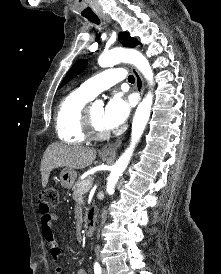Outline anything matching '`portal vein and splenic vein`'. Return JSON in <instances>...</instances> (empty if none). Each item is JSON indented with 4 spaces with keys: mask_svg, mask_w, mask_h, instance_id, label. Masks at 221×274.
I'll use <instances>...</instances> for the list:
<instances>
[{
    "mask_svg": "<svg viewBox=\"0 0 221 274\" xmlns=\"http://www.w3.org/2000/svg\"><path fill=\"white\" fill-rule=\"evenodd\" d=\"M91 183H92L91 180H89V181L85 184V186L82 188V191L87 192V191L90 189L91 185H92Z\"/></svg>",
    "mask_w": 221,
    "mask_h": 274,
    "instance_id": "portal-vein-and-splenic-vein-1",
    "label": "portal vein and splenic vein"
}]
</instances>
